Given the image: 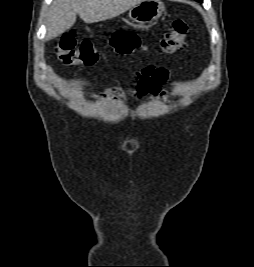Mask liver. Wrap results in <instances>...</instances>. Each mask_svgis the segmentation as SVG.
<instances>
[{
  "instance_id": "6515ba94",
  "label": "liver",
  "mask_w": 254,
  "mask_h": 267,
  "mask_svg": "<svg viewBox=\"0 0 254 267\" xmlns=\"http://www.w3.org/2000/svg\"><path fill=\"white\" fill-rule=\"evenodd\" d=\"M142 0H54L49 11L46 39H53L76 22L77 14L85 23L117 17Z\"/></svg>"
}]
</instances>
